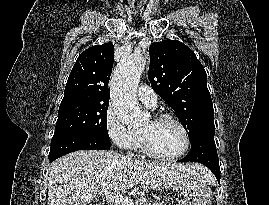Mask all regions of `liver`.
Instances as JSON below:
<instances>
[{
	"mask_svg": "<svg viewBox=\"0 0 269 205\" xmlns=\"http://www.w3.org/2000/svg\"><path fill=\"white\" fill-rule=\"evenodd\" d=\"M189 176L203 183L213 180L211 173L199 164L148 163L113 151L81 150L51 164L48 205H87L103 183H109L115 193L137 184L162 190Z\"/></svg>",
	"mask_w": 269,
	"mask_h": 205,
	"instance_id": "liver-1",
	"label": "liver"
}]
</instances>
